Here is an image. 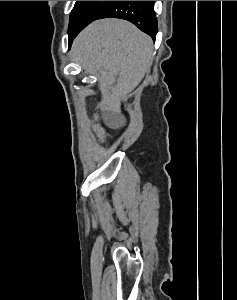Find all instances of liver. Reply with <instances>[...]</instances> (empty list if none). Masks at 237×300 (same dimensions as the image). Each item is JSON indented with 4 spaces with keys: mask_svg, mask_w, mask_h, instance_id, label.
Returning <instances> with one entry per match:
<instances>
[{
    "mask_svg": "<svg viewBox=\"0 0 237 300\" xmlns=\"http://www.w3.org/2000/svg\"><path fill=\"white\" fill-rule=\"evenodd\" d=\"M72 53L85 71H98L104 103L118 107L119 99L134 91L149 71L153 41L128 21L101 19L79 33Z\"/></svg>",
    "mask_w": 237,
    "mask_h": 300,
    "instance_id": "1",
    "label": "liver"
}]
</instances>
